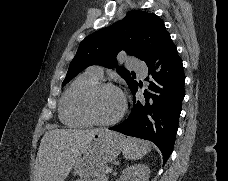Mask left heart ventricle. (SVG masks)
Returning <instances> with one entry per match:
<instances>
[{"label": "left heart ventricle", "instance_id": "left-heart-ventricle-1", "mask_svg": "<svg viewBox=\"0 0 228 181\" xmlns=\"http://www.w3.org/2000/svg\"><path fill=\"white\" fill-rule=\"evenodd\" d=\"M93 107L99 118L110 119L117 115L121 110V95L115 89H103L97 93Z\"/></svg>", "mask_w": 228, "mask_h": 181}]
</instances>
